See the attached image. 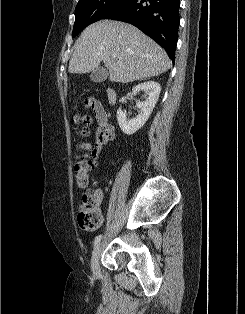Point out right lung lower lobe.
I'll return each mask as SVG.
<instances>
[{"label": "right lung lower lobe", "instance_id": "obj_1", "mask_svg": "<svg viewBox=\"0 0 245 314\" xmlns=\"http://www.w3.org/2000/svg\"><path fill=\"white\" fill-rule=\"evenodd\" d=\"M180 0H129L103 19L130 23L159 45L175 60Z\"/></svg>", "mask_w": 245, "mask_h": 314}]
</instances>
